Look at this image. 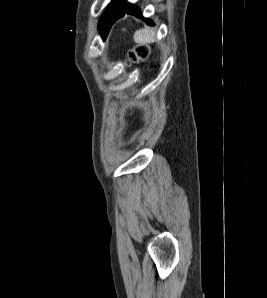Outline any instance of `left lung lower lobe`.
Segmentation results:
<instances>
[{
	"mask_svg": "<svg viewBox=\"0 0 267 298\" xmlns=\"http://www.w3.org/2000/svg\"><path fill=\"white\" fill-rule=\"evenodd\" d=\"M125 13L143 18L140 10L135 5L127 3L125 0H121L117 4L110 5L108 9L105 11V13L101 16L99 21L101 36L105 37L108 34L114 22L120 17H123ZM145 21L148 24H152V22L149 19H145Z\"/></svg>",
	"mask_w": 267,
	"mask_h": 298,
	"instance_id": "0a47b994",
	"label": "left lung lower lobe"
}]
</instances>
